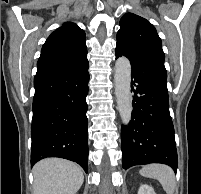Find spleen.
<instances>
[{
	"label": "spleen",
	"mask_w": 201,
	"mask_h": 194,
	"mask_svg": "<svg viewBox=\"0 0 201 194\" xmlns=\"http://www.w3.org/2000/svg\"><path fill=\"white\" fill-rule=\"evenodd\" d=\"M140 175L157 179L167 194H174L176 187L175 175L170 167L161 164L147 165L140 170Z\"/></svg>",
	"instance_id": "1"
}]
</instances>
